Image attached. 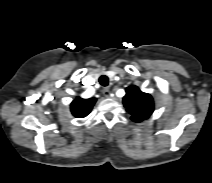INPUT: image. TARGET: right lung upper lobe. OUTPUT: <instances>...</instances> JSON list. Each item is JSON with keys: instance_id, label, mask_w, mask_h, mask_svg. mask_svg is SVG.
I'll return each instance as SVG.
<instances>
[{"instance_id": "right-lung-upper-lobe-1", "label": "right lung upper lobe", "mask_w": 212, "mask_h": 183, "mask_svg": "<svg viewBox=\"0 0 212 183\" xmlns=\"http://www.w3.org/2000/svg\"><path fill=\"white\" fill-rule=\"evenodd\" d=\"M95 102H96L95 98L83 99L77 97L70 105L71 112L75 117L78 118L86 117L90 113Z\"/></svg>"}]
</instances>
